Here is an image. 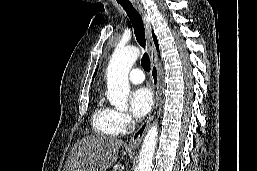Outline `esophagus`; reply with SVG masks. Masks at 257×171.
Instances as JSON below:
<instances>
[{
  "label": "esophagus",
  "mask_w": 257,
  "mask_h": 171,
  "mask_svg": "<svg viewBox=\"0 0 257 171\" xmlns=\"http://www.w3.org/2000/svg\"><path fill=\"white\" fill-rule=\"evenodd\" d=\"M135 6L141 13L143 18V23L145 26V35H146L149 58L151 63L150 76H151L152 91H153V105L147 119L139 126V128L135 131V133L132 135L129 142L127 143L126 147L130 150H136L139 147L147 129L150 126L151 121L154 118V115L156 113V109L158 106V101H159V87H160L159 70L157 66L158 56H157V51L151 35L150 20L140 4H135Z\"/></svg>",
  "instance_id": "obj_1"
}]
</instances>
